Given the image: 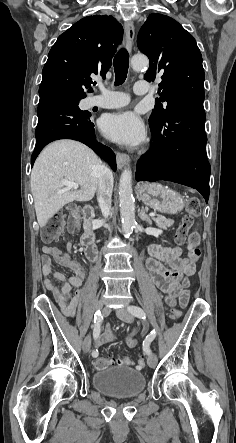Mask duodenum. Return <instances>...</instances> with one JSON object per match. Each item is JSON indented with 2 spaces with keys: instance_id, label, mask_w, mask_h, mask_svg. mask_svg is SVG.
Segmentation results:
<instances>
[{
  "instance_id": "410a0bca",
  "label": "duodenum",
  "mask_w": 236,
  "mask_h": 443,
  "mask_svg": "<svg viewBox=\"0 0 236 443\" xmlns=\"http://www.w3.org/2000/svg\"><path fill=\"white\" fill-rule=\"evenodd\" d=\"M85 218V230L80 239V245L85 251L86 257L90 262L96 259L97 249L95 246L96 235L92 227V219L95 216V209L92 206H86L83 209Z\"/></svg>"
}]
</instances>
